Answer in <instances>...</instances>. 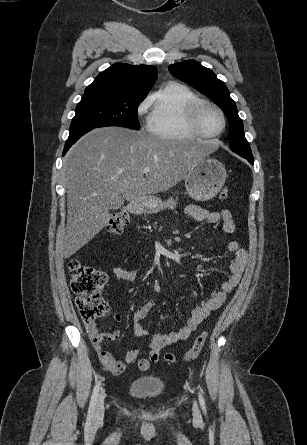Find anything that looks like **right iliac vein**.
<instances>
[{
	"label": "right iliac vein",
	"instance_id": "obj_1",
	"mask_svg": "<svg viewBox=\"0 0 307 445\" xmlns=\"http://www.w3.org/2000/svg\"><path fill=\"white\" fill-rule=\"evenodd\" d=\"M103 415H104V394L103 392H101L96 403L94 418L95 420L98 421L103 418Z\"/></svg>",
	"mask_w": 307,
	"mask_h": 445
}]
</instances>
